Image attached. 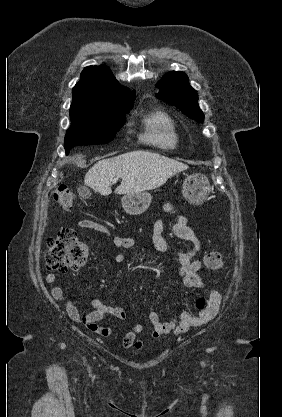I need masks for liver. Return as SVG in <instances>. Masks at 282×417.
<instances>
[{
    "instance_id": "obj_1",
    "label": "liver",
    "mask_w": 282,
    "mask_h": 417,
    "mask_svg": "<svg viewBox=\"0 0 282 417\" xmlns=\"http://www.w3.org/2000/svg\"><path fill=\"white\" fill-rule=\"evenodd\" d=\"M188 164H183L174 158L162 156L148 150H132L112 158L98 160L85 174L84 182L103 196L111 194V182L114 178H122L121 184L115 188L116 194L141 192L162 186L170 176L181 170H187Z\"/></svg>"
}]
</instances>
